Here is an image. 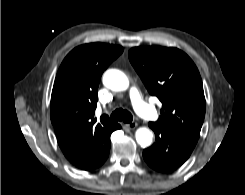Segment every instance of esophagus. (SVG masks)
Listing matches in <instances>:
<instances>
[{
	"instance_id": "1",
	"label": "esophagus",
	"mask_w": 245,
	"mask_h": 195,
	"mask_svg": "<svg viewBox=\"0 0 245 195\" xmlns=\"http://www.w3.org/2000/svg\"><path fill=\"white\" fill-rule=\"evenodd\" d=\"M125 126L129 129H135L137 127V123L136 122H130L125 124Z\"/></svg>"
}]
</instances>
